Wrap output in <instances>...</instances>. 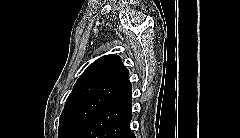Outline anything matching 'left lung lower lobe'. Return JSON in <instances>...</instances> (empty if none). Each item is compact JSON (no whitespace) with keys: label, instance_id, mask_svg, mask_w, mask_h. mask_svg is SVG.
<instances>
[{"label":"left lung lower lobe","instance_id":"obj_1","mask_svg":"<svg viewBox=\"0 0 240 138\" xmlns=\"http://www.w3.org/2000/svg\"><path fill=\"white\" fill-rule=\"evenodd\" d=\"M132 85L129 73L114 95L100 109L80 138H135L130 132Z\"/></svg>","mask_w":240,"mask_h":138}]
</instances>
